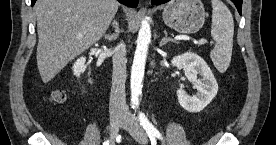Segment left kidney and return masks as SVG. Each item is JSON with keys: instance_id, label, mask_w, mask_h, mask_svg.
I'll use <instances>...</instances> for the list:
<instances>
[{"instance_id": "left-kidney-1", "label": "left kidney", "mask_w": 276, "mask_h": 145, "mask_svg": "<svg viewBox=\"0 0 276 145\" xmlns=\"http://www.w3.org/2000/svg\"><path fill=\"white\" fill-rule=\"evenodd\" d=\"M171 64L183 68L186 77L197 89L193 96L188 95L182 88L178 89L179 104L188 112L202 111L218 91V84L211 69L200 56L192 52L173 57ZM197 75H200L201 79H197Z\"/></svg>"}]
</instances>
